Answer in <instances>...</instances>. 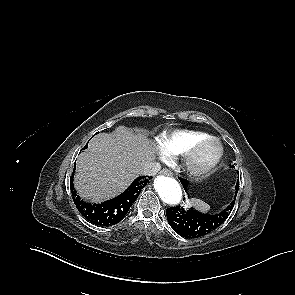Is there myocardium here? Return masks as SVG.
<instances>
[{
	"mask_svg": "<svg viewBox=\"0 0 295 295\" xmlns=\"http://www.w3.org/2000/svg\"><path fill=\"white\" fill-rule=\"evenodd\" d=\"M208 145H213L216 149L213 157L204 164L197 163V156L203 148ZM224 154V147L222 143L214 138L207 137L193 144L184 154V164L186 170L193 176L203 177L209 175L220 163Z\"/></svg>",
	"mask_w": 295,
	"mask_h": 295,
	"instance_id": "myocardium-1",
	"label": "myocardium"
}]
</instances>
